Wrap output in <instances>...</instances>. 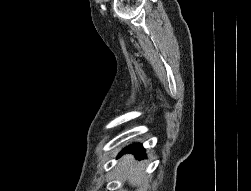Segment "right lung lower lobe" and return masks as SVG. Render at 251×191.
I'll return each mask as SVG.
<instances>
[{
  "label": "right lung lower lobe",
  "instance_id": "98d812e1",
  "mask_svg": "<svg viewBox=\"0 0 251 191\" xmlns=\"http://www.w3.org/2000/svg\"><path fill=\"white\" fill-rule=\"evenodd\" d=\"M126 152L134 153L136 158H138V159L145 157V150L141 144H132V145L128 146L119 154V156L122 155L123 153H126Z\"/></svg>",
  "mask_w": 251,
  "mask_h": 191
}]
</instances>
